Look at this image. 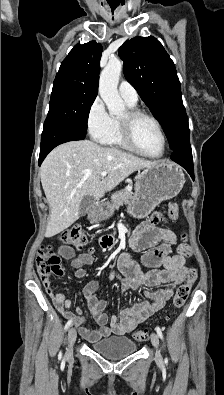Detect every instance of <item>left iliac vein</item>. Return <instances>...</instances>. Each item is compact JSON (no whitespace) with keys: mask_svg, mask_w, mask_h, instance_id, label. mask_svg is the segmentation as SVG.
<instances>
[{"mask_svg":"<svg viewBox=\"0 0 224 395\" xmlns=\"http://www.w3.org/2000/svg\"><path fill=\"white\" fill-rule=\"evenodd\" d=\"M151 343L155 348V361L158 364H162V356L159 351V337L156 333H152L150 336Z\"/></svg>","mask_w":224,"mask_h":395,"instance_id":"1","label":"left iliac vein"}]
</instances>
